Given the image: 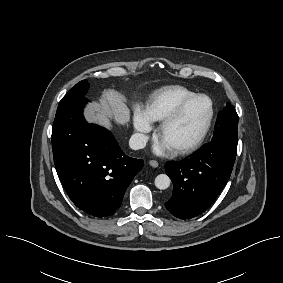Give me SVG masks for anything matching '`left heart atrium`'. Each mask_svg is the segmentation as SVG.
I'll list each match as a JSON object with an SVG mask.
<instances>
[{
  "mask_svg": "<svg viewBox=\"0 0 283 283\" xmlns=\"http://www.w3.org/2000/svg\"><path fill=\"white\" fill-rule=\"evenodd\" d=\"M171 150L172 148L162 140L158 144H156L154 147V151L159 155L166 154L170 152Z\"/></svg>",
  "mask_w": 283,
  "mask_h": 283,
  "instance_id": "left-heart-atrium-1",
  "label": "left heart atrium"
}]
</instances>
